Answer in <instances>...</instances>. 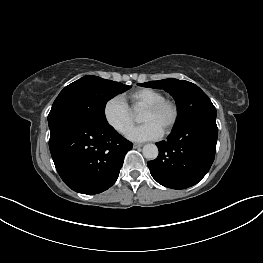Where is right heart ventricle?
<instances>
[{
    "mask_svg": "<svg viewBox=\"0 0 263 263\" xmlns=\"http://www.w3.org/2000/svg\"><path fill=\"white\" fill-rule=\"evenodd\" d=\"M133 108L145 107L148 104L164 99V95L152 88H139L128 94Z\"/></svg>",
    "mask_w": 263,
    "mask_h": 263,
    "instance_id": "right-heart-ventricle-1",
    "label": "right heart ventricle"
}]
</instances>
